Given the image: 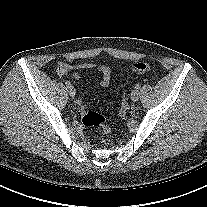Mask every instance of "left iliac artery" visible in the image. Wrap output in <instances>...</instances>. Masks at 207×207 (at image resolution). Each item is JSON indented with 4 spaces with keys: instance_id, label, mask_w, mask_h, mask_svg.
I'll use <instances>...</instances> for the list:
<instances>
[{
    "instance_id": "1",
    "label": "left iliac artery",
    "mask_w": 207,
    "mask_h": 207,
    "mask_svg": "<svg viewBox=\"0 0 207 207\" xmlns=\"http://www.w3.org/2000/svg\"><path fill=\"white\" fill-rule=\"evenodd\" d=\"M140 87H141L140 84H136V85H135V89H136V90L140 89Z\"/></svg>"
}]
</instances>
